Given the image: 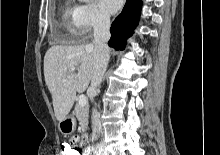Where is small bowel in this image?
Here are the masks:
<instances>
[{
	"label": "small bowel",
	"instance_id": "small-bowel-1",
	"mask_svg": "<svg viewBox=\"0 0 220 155\" xmlns=\"http://www.w3.org/2000/svg\"><path fill=\"white\" fill-rule=\"evenodd\" d=\"M88 143L85 136H70L68 140H64V145H88Z\"/></svg>",
	"mask_w": 220,
	"mask_h": 155
}]
</instances>
